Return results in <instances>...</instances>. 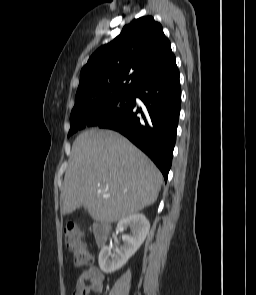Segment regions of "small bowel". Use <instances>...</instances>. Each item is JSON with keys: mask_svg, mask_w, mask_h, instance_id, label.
<instances>
[{"mask_svg": "<svg viewBox=\"0 0 256 295\" xmlns=\"http://www.w3.org/2000/svg\"><path fill=\"white\" fill-rule=\"evenodd\" d=\"M89 282L87 285L86 282ZM104 289V275L100 269L88 264L77 279L73 295H89L90 293L101 294Z\"/></svg>", "mask_w": 256, "mask_h": 295, "instance_id": "small-bowel-1", "label": "small bowel"}]
</instances>
